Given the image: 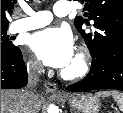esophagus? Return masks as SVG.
<instances>
[{
	"instance_id": "1",
	"label": "esophagus",
	"mask_w": 123,
	"mask_h": 113,
	"mask_svg": "<svg viewBox=\"0 0 123 113\" xmlns=\"http://www.w3.org/2000/svg\"><path fill=\"white\" fill-rule=\"evenodd\" d=\"M44 87L48 92L53 93L54 95H58V96L63 95V93L58 91L57 85L55 83L45 82Z\"/></svg>"
}]
</instances>
